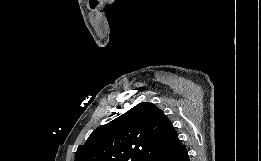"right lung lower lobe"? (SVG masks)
I'll use <instances>...</instances> for the list:
<instances>
[{
  "instance_id": "obj_1",
  "label": "right lung lower lobe",
  "mask_w": 261,
  "mask_h": 161,
  "mask_svg": "<svg viewBox=\"0 0 261 161\" xmlns=\"http://www.w3.org/2000/svg\"><path fill=\"white\" fill-rule=\"evenodd\" d=\"M150 161H189L188 152L184 145L177 149L155 156Z\"/></svg>"
}]
</instances>
